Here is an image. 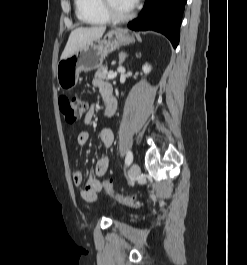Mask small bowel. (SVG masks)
I'll return each mask as SVG.
<instances>
[{
    "label": "small bowel",
    "instance_id": "1",
    "mask_svg": "<svg viewBox=\"0 0 247 265\" xmlns=\"http://www.w3.org/2000/svg\"><path fill=\"white\" fill-rule=\"evenodd\" d=\"M94 86H96L102 94L105 96L106 92L111 93V100L110 104L108 106V109L105 110V114L108 117H113L115 110H116V101L112 95L111 87L100 80H94ZM96 105L93 104L89 111L87 112L85 116V123L89 124L94 117L95 114ZM89 133L86 131H82L79 133L77 142L80 146H84L89 141ZM100 141L103 146V148L107 149L111 146L113 142V133L110 129H102L100 132ZM109 167V159L107 157H104L100 159L96 165V173L98 176H104L108 170ZM72 179L75 185L80 186L84 181V176L81 170H75ZM103 190L102 184L98 179L93 178L92 175L89 176L88 180L86 181L84 188L81 192V196L83 200L86 202L92 203L97 200L98 193H100Z\"/></svg>",
    "mask_w": 247,
    "mask_h": 265
}]
</instances>
